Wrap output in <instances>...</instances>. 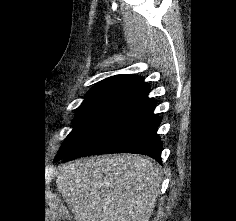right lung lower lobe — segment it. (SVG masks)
I'll return each mask as SVG.
<instances>
[{
	"mask_svg": "<svg viewBox=\"0 0 236 221\" xmlns=\"http://www.w3.org/2000/svg\"><path fill=\"white\" fill-rule=\"evenodd\" d=\"M149 91L136 95L72 152L55 161L105 153H136L161 162L163 145L156 134L161 118L153 113L155 102L147 97Z\"/></svg>",
	"mask_w": 236,
	"mask_h": 221,
	"instance_id": "obj_1",
	"label": "right lung lower lobe"
}]
</instances>
